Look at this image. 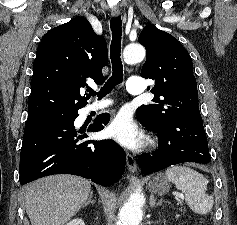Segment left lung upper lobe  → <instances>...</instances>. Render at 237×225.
<instances>
[{"label":"left lung upper lobe","instance_id":"5c2ea615","mask_svg":"<svg viewBox=\"0 0 237 225\" xmlns=\"http://www.w3.org/2000/svg\"><path fill=\"white\" fill-rule=\"evenodd\" d=\"M138 41L147 51L141 76L155 80L153 104L137 109V119L157 132L194 108H199L197 83L190 55L167 32L147 25Z\"/></svg>","mask_w":237,"mask_h":225}]
</instances>
